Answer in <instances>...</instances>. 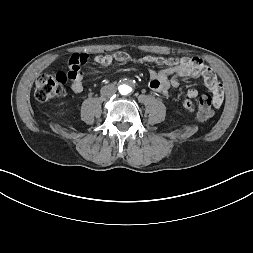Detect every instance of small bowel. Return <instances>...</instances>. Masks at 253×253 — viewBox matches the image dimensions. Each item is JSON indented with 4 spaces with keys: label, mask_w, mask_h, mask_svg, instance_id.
Instances as JSON below:
<instances>
[{
    "label": "small bowel",
    "mask_w": 253,
    "mask_h": 253,
    "mask_svg": "<svg viewBox=\"0 0 253 253\" xmlns=\"http://www.w3.org/2000/svg\"><path fill=\"white\" fill-rule=\"evenodd\" d=\"M69 60L73 64L78 63L79 60L85 64L88 61V56L73 53L70 55ZM95 61L104 68L110 67L114 62L128 61L161 66L162 69L159 71L149 70V87L155 93L164 96H168L171 89L178 88L179 78L200 76L213 95V104L216 107H220L223 104L224 94L222 84L214 76L211 69L199 58L165 59L159 56L146 55L133 59L127 53L118 51L109 55L97 56ZM197 97L198 91L192 88L187 91V98L181 101V108L187 114H194L197 111V101L195 100Z\"/></svg>",
    "instance_id": "1"
}]
</instances>
